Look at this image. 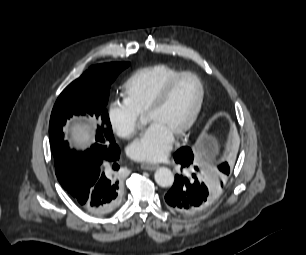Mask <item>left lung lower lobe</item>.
Listing matches in <instances>:
<instances>
[{
  "mask_svg": "<svg viewBox=\"0 0 306 255\" xmlns=\"http://www.w3.org/2000/svg\"><path fill=\"white\" fill-rule=\"evenodd\" d=\"M194 155L190 147L180 148L174 155V160L181 167V172L175 175L172 188L165 195L166 203L175 211L182 214H193L205 208L216 195L219 184L217 182L198 179L199 167L193 161ZM219 176L224 179L229 175L227 163L218 166ZM194 171L192 177H187L183 171ZM222 186V182H221Z\"/></svg>",
  "mask_w": 306,
  "mask_h": 255,
  "instance_id": "1",
  "label": "left lung lower lobe"
}]
</instances>
